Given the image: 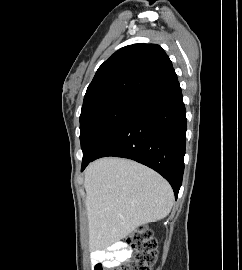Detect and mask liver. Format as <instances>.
Returning <instances> with one entry per match:
<instances>
[{
  "instance_id": "1",
  "label": "liver",
  "mask_w": 242,
  "mask_h": 270,
  "mask_svg": "<svg viewBox=\"0 0 242 270\" xmlns=\"http://www.w3.org/2000/svg\"><path fill=\"white\" fill-rule=\"evenodd\" d=\"M89 244L101 248L138 227L166 217L173 206L169 183L152 169L122 158H102L85 171Z\"/></svg>"
}]
</instances>
